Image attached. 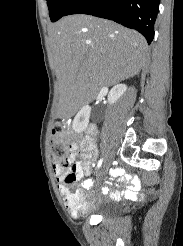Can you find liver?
<instances>
[{
  "instance_id": "1",
  "label": "liver",
  "mask_w": 183,
  "mask_h": 246,
  "mask_svg": "<svg viewBox=\"0 0 183 246\" xmlns=\"http://www.w3.org/2000/svg\"><path fill=\"white\" fill-rule=\"evenodd\" d=\"M62 117L72 116L103 86L137 75L147 42L136 31L89 15L62 18L49 27Z\"/></svg>"
}]
</instances>
